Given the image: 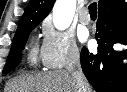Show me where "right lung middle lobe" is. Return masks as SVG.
Segmentation results:
<instances>
[{
  "label": "right lung middle lobe",
  "instance_id": "right-lung-middle-lobe-1",
  "mask_svg": "<svg viewBox=\"0 0 127 92\" xmlns=\"http://www.w3.org/2000/svg\"><path fill=\"white\" fill-rule=\"evenodd\" d=\"M37 25L27 27L14 36L11 51L7 57L3 73H8L15 69L21 61V53L27 41L30 31Z\"/></svg>",
  "mask_w": 127,
  "mask_h": 92
}]
</instances>
